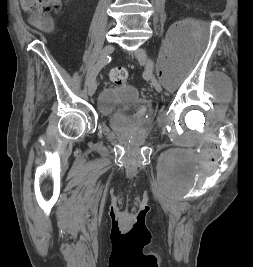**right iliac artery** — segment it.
<instances>
[{
  "instance_id": "1",
  "label": "right iliac artery",
  "mask_w": 253,
  "mask_h": 267,
  "mask_svg": "<svg viewBox=\"0 0 253 267\" xmlns=\"http://www.w3.org/2000/svg\"><path fill=\"white\" fill-rule=\"evenodd\" d=\"M111 61V57L106 56V57H100L99 60L97 61L96 65L94 66L92 72L90 73L88 77V84L96 78V75L98 72L107 64Z\"/></svg>"
}]
</instances>
